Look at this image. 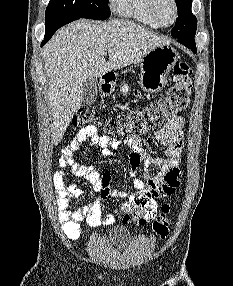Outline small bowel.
Segmentation results:
<instances>
[{
	"label": "small bowel",
	"mask_w": 233,
	"mask_h": 286,
	"mask_svg": "<svg viewBox=\"0 0 233 286\" xmlns=\"http://www.w3.org/2000/svg\"><path fill=\"white\" fill-rule=\"evenodd\" d=\"M184 118L174 115L168 119L165 125L155 131L156 140L165 147L163 156H152L142 143L140 136H132L121 140H113L106 135H99L98 126L92 125L81 129L75 138L63 149L59 159V170L53 175V185L56 193L58 218L67 238L73 242L82 236L80 222L86 220L89 226L99 227L111 225L116 216L109 212L102 215L101 202L110 198L127 199L121 206L122 220L124 223L134 221L130 218V200L140 196L150 198V205L145 209L144 217L138 221L140 224L151 221L156 214V202L158 199L175 193L180 185V162L183 147ZM88 142L98 147L101 154L109 157L112 150L121 146L122 142L130 149L128 159L130 174L135 177L140 166L155 168L157 175H147L143 180L134 179L135 194L113 189L110 186L111 175L106 172L101 175L94 167L85 166L74 159V153ZM69 172L84 177L99 194L94 201L87 203L76 210H70L69 206L74 199L83 196V191L76 185L66 184Z\"/></svg>",
	"instance_id": "c3829d8e"
}]
</instances>
